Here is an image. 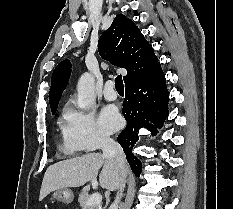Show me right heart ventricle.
I'll return each mask as SVG.
<instances>
[{"label":"right heart ventricle","mask_w":233,"mask_h":209,"mask_svg":"<svg viewBox=\"0 0 233 209\" xmlns=\"http://www.w3.org/2000/svg\"><path fill=\"white\" fill-rule=\"evenodd\" d=\"M62 150L67 153V154H74L76 153L77 149L73 148L72 146H70L68 143L65 142V145L63 146Z\"/></svg>","instance_id":"1"}]
</instances>
